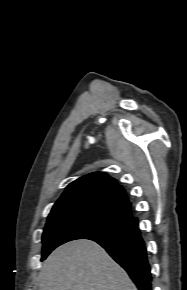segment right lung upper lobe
Returning a JSON list of instances; mask_svg holds the SVG:
<instances>
[{
  "label": "right lung upper lobe",
  "instance_id": "1",
  "mask_svg": "<svg viewBox=\"0 0 187 290\" xmlns=\"http://www.w3.org/2000/svg\"><path fill=\"white\" fill-rule=\"evenodd\" d=\"M78 207L106 208L133 225L138 223L131 215V203L125 190L102 172L88 174L70 183L50 214Z\"/></svg>",
  "mask_w": 187,
  "mask_h": 290
}]
</instances>
